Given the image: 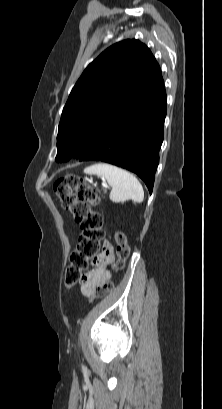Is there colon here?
<instances>
[{
  "label": "colon",
  "instance_id": "5ec220e1",
  "mask_svg": "<svg viewBox=\"0 0 222 409\" xmlns=\"http://www.w3.org/2000/svg\"><path fill=\"white\" fill-rule=\"evenodd\" d=\"M53 189L60 205L81 223L82 233L78 245L71 253L69 265L65 270V283L73 286L81 280L82 273L88 268L92 256H100L98 252L104 237L103 217L99 212L93 210V207L98 205L100 197L88 180L74 173L58 178ZM114 240L117 258L111 262V266L114 271L118 272L125 266L130 247L121 231L114 234ZM113 287V282L109 281L100 286L91 298L103 297Z\"/></svg>",
  "mask_w": 222,
  "mask_h": 409
}]
</instances>
